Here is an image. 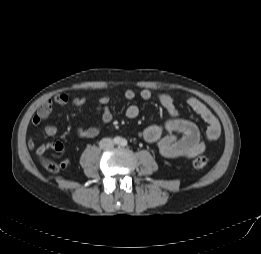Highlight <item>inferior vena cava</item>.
Instances as JSON below:
<instances>
[{"mask_svg": "<svg viewBox=\"0 0 261 254\" xmlns=\"http://www.w3.org/2000/svg\"><path fill=\"white\" fill-rule=\"evenodd\" d=\"M99 146L101 149L103 150H107V149H111L114 146V142L112 139L110 138H103L100 143Z\"/></svg>", "mask_w": 261, "mask_h": 254, "instance_id": "obj_1", "label": "inferior vena cava"}]
</instances>
